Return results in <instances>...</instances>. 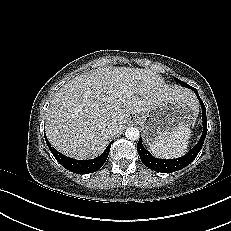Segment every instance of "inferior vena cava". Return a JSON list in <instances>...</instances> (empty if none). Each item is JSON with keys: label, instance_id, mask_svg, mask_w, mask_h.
Listing matches in <instances>:
<instances>
[{"label": "inferior vena cava", "instance_id": "inferior-vena-cava-1", "mask_svg": "<svg viewBox=\"0 0 231 231\" xmlns=\"http://www.w3.org/2000/svg\"><path fill=\"white\" fill-rule=\"evenodd\" d=\"M107 130H108L110 133L115 134V133H116V130H117V127L114 126V125H111V126L108 127Z\"/></svg>", "mask_w": 231, "mask_h": 231}]
</instances>
